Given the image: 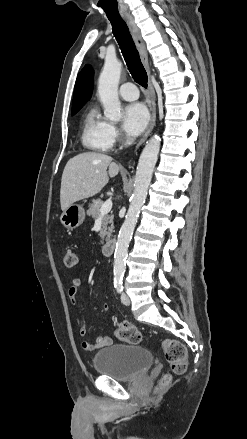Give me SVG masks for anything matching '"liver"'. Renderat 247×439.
Returning a JSON list of instances; mask_svg holds the SVG:
<instances>
[{"mask_svg":"<svg viewBox=\"0 0 247 439\" xmlns=\"http://www.w3.org/2000/svg\"><path fill=\"white\" fill-rule=\"evenodd\" d=\"M108 168V172H107ZM119 166L112 157L96 152H85L71 158L62 174L60 189L61 209L96 195L115 177Z\"/></svg>","mask_w":247,"mask_h":439,"instance_id":"obj_1","label":"liver"}]
</instances>
